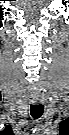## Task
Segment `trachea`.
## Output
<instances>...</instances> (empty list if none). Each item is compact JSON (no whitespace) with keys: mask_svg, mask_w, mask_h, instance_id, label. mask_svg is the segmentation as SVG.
<instances>
[{"mask_svg":"<svg viewBox=\"0 0 69 135\" xmlns=\"http://www.w3.org/2000/svg\"><path fill=\"white\" fill-rule=\"evenodd\" d=\"M31 116L34 119H38L44 112V106L42 104H34L30 107Z\"/></svg>","mask_w":69,"mask_h":135,"instance_id":"obj_1","label":"trachea"}]
</instances>
